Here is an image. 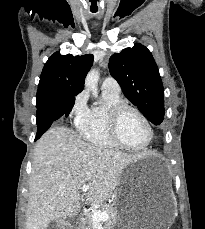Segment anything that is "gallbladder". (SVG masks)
<instances>
[{"instance_id":"obj_1","label":"gallbladder","mask_w":205,"mask_h":229,"mask_svg":"<svg viewBox=\"0 0 205 229\" xmlns=\"http://www.w3.org/2000/svg\"><path fill=\"white\" fill-rule=\"evenodd\" d=\"M67 222L64 219H56L51 221L48 226L47 229H65V227H67Z\"/></svg>"}]
</instances>
